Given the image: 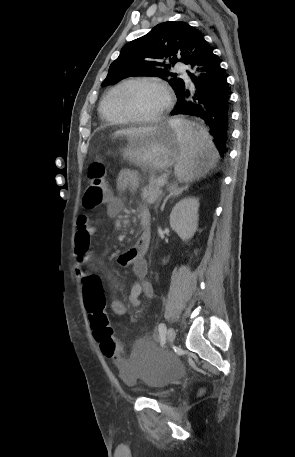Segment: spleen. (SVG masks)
<instances>
[{
  "instance_id": "1",
  "label": "spleen",
  "mask_w": 295,
  "mask_h": 457,
  "mask_svg": "<svg viewBox=\"0 0 295 457\" xmlns=\"http://www.w3.org/2000/svg\"><path fill=\"white\" fill-rule=\"evenodd\" d=\"M170 125L177 132L180 149L175 175L180 181L199 179L219 158L209 133L204 127L184 119H172Z\"/></svg>"
}]
</instances>
